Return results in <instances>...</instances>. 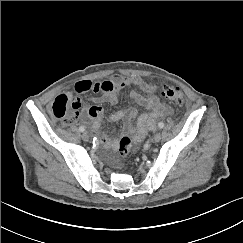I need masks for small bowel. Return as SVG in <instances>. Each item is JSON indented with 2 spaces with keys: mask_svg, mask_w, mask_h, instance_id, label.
Instances as JSON below:
<instances>
[{
  "mask_svg": "<svg viewBox=\"0 0 243 243\" xmlns=\"http://www.w3.org/2000/svg\"><path fill=\"white\" fill-rule=\"evenodd\" d=\"M128 86L137 87L140 91L147 93V95H143L138 91L130 93L131 99L147 111L138 115L137 108L130 107L113 113L108 118V121L111 123L122 121L124 133L130 135L134 142H140L149 131L155 129L156 120L171 114L172 109L164 105L155 94L156 86L139 76L124 77L114 75L109 79L96 82L81 80L75 84V92L77 94H59L54 102L62 101L71 107L69 122L76 121L78 118H81L84 122L90 121L91 131L99 137L101 145L107 148H116L117 141L101 131L104 119V111L101 104H116L120 91ZM87 92L94 94L92 97L93 105L83 109V102L78 94Z\"/></svg>",
  "mask_w": 243,
  "mask_h": 243,
  "instance_id": "1",
  "label": "small bowel"
}]
</instances>
